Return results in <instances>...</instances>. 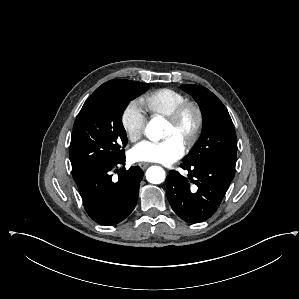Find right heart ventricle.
Masks as SVG:
<instances>
[{
  "instance_id": "e07e8e85",
  "label": "right heart ventricle",
  "mask_w": 299,
  "mask_h": 299,
  "mask_svg": "<svg viewBox=\"0 0 299 299\" xmlns=\"http://www.w3.org/2000/svg\"><path fill=\"white\" fill-rule=\"evenodd\" d=\"M185 100L183 93L172 88H161L146 95L143 103L152 115L168 117Z\"/></svg>"
}]
</instances>
